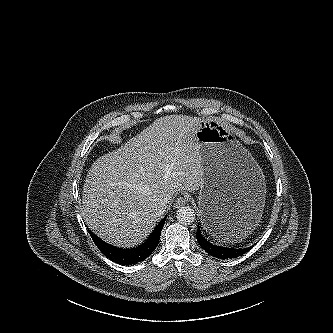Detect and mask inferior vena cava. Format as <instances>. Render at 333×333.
I'll use <instances>...</instances> for the list:
<instances>
[{
  "mask_svg": "<svg viewBox=\"0 0 333 333\" xmlns=\"http://www.w3.org/2000/svg\"><path fill=\"white\" fill-rule=\"evenodd\" d=\"M168 207V202L166 200H162L159 202V208H161V210L165 211Z\"/></svg>",
  "mask_w": 333,
  "mask_h": 333,
  "instance_id": "602c4592",
  "label": "inferior vena cava"
}]
</instances>
